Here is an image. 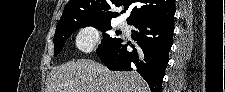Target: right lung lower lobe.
I'll list each match as a JSON object with an SVG mask.
<instances>
[{
    "label": "right lung lower lobe",
    "instance_id": "98d812e1",
    "mask_svg": "<svg viewBox=\"0 0 225 92\" xmlns=\"http://www.w3.org/2000/svg\"><path fill=\"white\" fill-rule=\"evenodd\" d=\"M133 26L136 30H132L131 36L137 41V49L128 51L127 44L120 39L96 53L108 69L135 70L146 80L151 92H161L172 46L174 15L141 20Z\"/></svg>",
    "mask_w": 225,
    "mask_h": 92
}]
</instances>
